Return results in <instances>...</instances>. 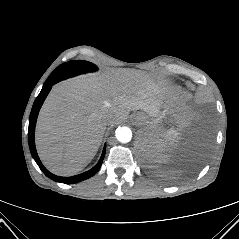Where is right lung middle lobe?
Masks as SVG:
<instances>
[{"mask_svg":"<svg viewBox=\"0 0 239 239\" xmlns=\"http://www.w3.org/2000/svg\"><path fill=\"white\" fill-rule=\"evenodd\" d=\"M97 67L88 61H69L59 65L48 77L43 87L52 86L55 83L73 77L78 74L96 71Z\"/></svg>","mask_w":239,"mask_h":239,"instance_id":"right-lung-middle-lobe-1","label":"right lung middle lobe"}]
</instances>
